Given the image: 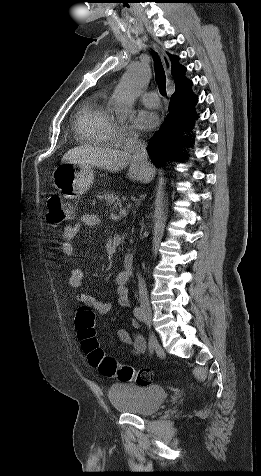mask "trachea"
Listing matches in <instances>:
<instances>
[{"instance_id": "3493384b", "label": "trachea", "mask_w": 261, "mask_h": 476, "mask_svg": "<svg viewBox=\"0 0 261 476\" xmlns=\"http://www.w3.org/2000/svg\"><path fill=\"white\" fill-rule=\"evenodd\" d=\"M154 59L155 80L161 95H166V76L160 57L156 52L152 53Z\"/></svg>"}]
</instances>
